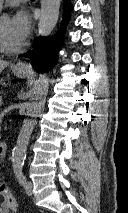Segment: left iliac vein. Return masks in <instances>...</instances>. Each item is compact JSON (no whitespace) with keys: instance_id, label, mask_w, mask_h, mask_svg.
<instances>
[{"instance_id":"1","label":"left iliac vein","mask_w":128,"mask_h":213,"mask_svg":"<svg viewBox=\"0 0 128 213\" xmlns=\"http://www.w3.org/2000/svg\"><path fill=\"white\" fill-rule=\"evenodd\" d=\"M26 193L31 196L33 194V184L31 181L27 180L24 184Z\"/></svg>"}]
</instances>
